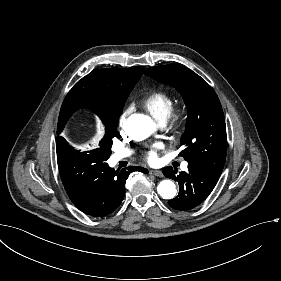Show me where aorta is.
<instances>
[{"label":"aorta","instance_id":"obj_1","mask_svg":"<svg viewBox=\"0 0 281 281\" xmlns=\"http://www.w3.org/2000/svg\"><path fill=\"white\" fill-rule=\"evenodd\" d=\"M155 130V124L149 116L143 114L131 115L126 124L127 133L135 140L148 138ZM158 194L164 199H173L177 193L174 182L163 180L157 187Z\"/></svg>","mask_w":281,"mask_h":281}]
</instances>
